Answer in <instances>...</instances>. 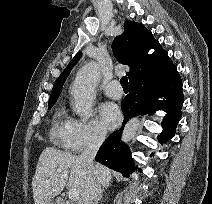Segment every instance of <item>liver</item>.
I'll return each mask as SVG.
<instances>
[{
	"instance_id": "6515ba94",
	"label": "liver",
	"mask_w": 212,
	"mask_h": 204,
	"mask_svg": "<svg viewBox=\"0 0 212 204\" xmlns=\"http://www.w3.org/2000/svg\"><path fill=\"white\" fill-rule=\"evenodd\" d=\"M94 167L100 185L108 187L112 179L111 170L101 164ZM57 169L62 172L58 173ZM87 177L88 167L80 156L46 147L39 157L32 181L34 203L47 204L65 186L77 190L83 199Z\"/></svg>"
}]
</instances>
